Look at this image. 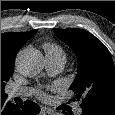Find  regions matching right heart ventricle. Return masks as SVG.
Segmentation results:
<instances>
[{"label":"right heart ventricle","mask_w":115,"mask_h":115,"mask_svg":"<svg viewBox=\"0 0 115 115\" xmlns=\"http://www.w3.org/2000/svg\"><path fill=\"white\" fill-rule=\"evenodd\" d=\"M44 50L46 52V55L51 54V55H61L63 57H65V54L62 50V48L52 42H47L44 44Z\"/></svg>","instance_id":"e07e8e85"}]
</instances>
